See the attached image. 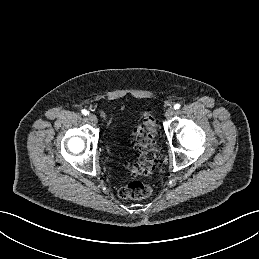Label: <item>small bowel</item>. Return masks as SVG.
I'll use <instances>...</instances> for the list:
<instances>
[{"label": "small bowel", "instance_id": "1", "mask_svg": "<svg viewBox=\"0 0 259 259\" xmlns=\"http://www.w3.org/2000/svg\"><path fill=\"white\" fill-rule=\"evenodd\" d=\"M101 114H102V116H103V117H106V115H105V113H104V112H102Z\"/></svg>", "mask_w": 259, "mask_h": 259}]
</instances>
